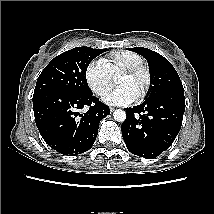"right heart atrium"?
Segmentation results:
<instances>
[{
	"mask_svg": "<svg viewBox=\"0 0 214 214\" xmlns=\"http://www.w3.org/2000/svg\"><path fill=\"white\" fill-rule=\"evenodd\" d=\"M84 75L88 87L99 97H104L114 83L112 74L102 60L90 62Z\"/></svg>",
	"mask_w": 214,
	"mask_h": 214,
	"instance_id": "right-heart-atrium-1",
	"label": "right heart atrium"
}]
</instances>
